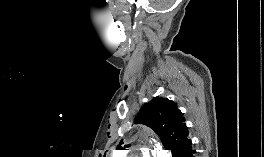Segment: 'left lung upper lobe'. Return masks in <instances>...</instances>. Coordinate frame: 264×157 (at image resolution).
Masks as SVG:
<instances>
[{"label":"left lung upper lobe","mask_w":264,"mask_h":157,"mask_svg":"<svg viewBox=\"0 0 264 157\" xmlns=\"http://www.w3.org/2000/svg\"><path fill=\"white\" fill-rule=\"evenodd\" d=\"M155 131L165 149L174 150L188 139V128L177 104L167 98H154L145 104L136 119ZM128 145L125 146L127 148ZM118 148H121L119 145Z\"/></svg>","instance_id":"left-lung-upper-lobe-1"}]
</instances>
